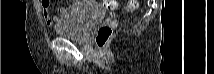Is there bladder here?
Returning <instances> with one entry per match:
<instances>
[{"label": "bladder", "mask_w": 214, "mask_h": 74, "mask_svg": "<svg viewBox=\"0 0 214 74\" xmlns=\"http://www.w3.org/2000/svg\"><path fill=\"white\" fill-rule=\"evenodd\" d=\"M105 17L103 10L92 2L80 1L70 8L55 26V32L64 38L84 41L90 29Z\"/></svg>", "instance_id": "1"}]
</instances>
